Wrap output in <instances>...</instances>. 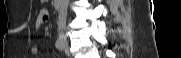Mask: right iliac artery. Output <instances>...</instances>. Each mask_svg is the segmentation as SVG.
Here are the masks:
<instances>
[{
	"label": "right iliac artery",
	"mask_w": 181,
	"mask_h": 58,
	"mask_svg": "<svg viewBox=\"0 0 181 58\" xmlns=\"http://www.w3.org/2000/svg\"><path fill=\"white\" fill-rule=\"evenodd\" d=\"M55 46L58 50L62 51L64 49V44L61 38L56 40Z\"/></svg>",
	"instance_id": "obj_1"
}]
</instances>
